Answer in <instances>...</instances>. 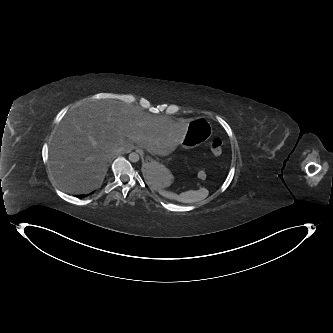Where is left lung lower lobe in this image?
I'll use <instances>...</instances> for the list:
<instances>
[{
	"label": "left lung lower lobe",
	"mask_w": 333,
	"mask_h": 333,
	"mask_svg": "<svg viewBox=\"0 0 333 333\" xmlns=\"http://www.w3.org/2000/svg\"><path fill=\"white\" fill-rule=\"evenodd\" d=\"M153 170L152 168L149 166V164L144 168V174L146 176L147 179H150V177L152 176Z\"/></svg>",
	"instance_id": "1"
}]
</instances>
